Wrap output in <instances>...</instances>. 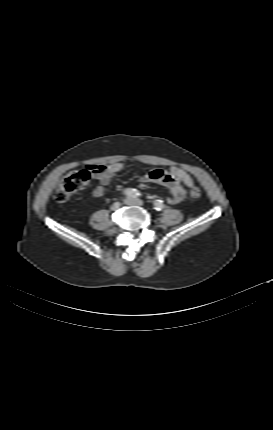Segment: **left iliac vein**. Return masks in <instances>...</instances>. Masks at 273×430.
Instances as JSON below:
<instances>
[{"label":"left iliac vein","instance_id":"4c4485c4","mask_svg":"<svg viewBox=\"0 0 273 430\" xmlns=\"http://www.w3.org/2000/svg\"><path fill=\"white\" fill-rule=\"evenodd\" d=\"M125 204L127 205H137V206H142L143 205V201L141 199H134V198H126L125 199Z\"/></svg>","mask_w":273,"mask_h":430}]
</instances>
